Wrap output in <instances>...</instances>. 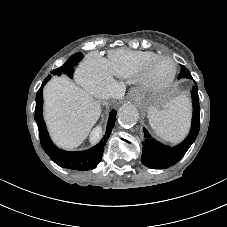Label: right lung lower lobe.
Segmentation results:
<instances>
[{
	"instance_id": "right-lung-lower-lobe-1",
	"label": "right lung lower lobe",
	"mask_w": 227,
	"mask_h": 227,
	"mask_svg": "<svg viewBox=\"0 0 227 227\" xmlns=\"http://www.w3.org/2000/svg\"><path fill=\"white\" fill-rule=\"evenodd\" d=\"M36 94L35 120L38 125L40 143L44 151L57 165L77 171L92 170L97 167L103 155L104 145L108 140L116 121V111L112 110L107 123L106 134L94 147L78 152H68L57 148L51 141L42 115L43 97L42 89Z\"/></svg>"
}]
</instances>
